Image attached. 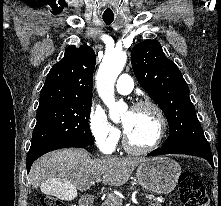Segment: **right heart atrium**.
<instances>
[{"instance_id": "1", "label": "right heart atrium", "mask_w": 221, "mask_h": 206, "mask_svg": "<svg viewBox=\"0 0 221 206\" xmlns=\"http://www.w3.org/2000/svg\"><path fill=\"white\" fill-rule=\"evenodd\" d=\"M89 129L98 148L105 154H110L116 149L120 132L107 119L105 112L96 106H92L89 117Z\"/></svg>"}]
</instances>
